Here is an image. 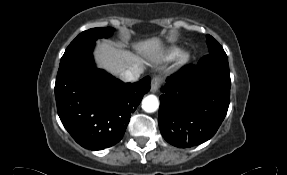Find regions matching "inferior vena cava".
<instances>
[{
    "mask_svg": "<svg viewBox=\"0 0 287 175\" xmlns=\"http://www.w3.org/2000/svg\"><path fill=\"white\" fill-rule=\"evenodd\" d=\"M143 72L142 68H130L120 73L119 77L125 82H135L139 79L141 73Z\"/></svg>",
    "mask_w": 287,
    "mask_h": 175,
    "instance_id": "1",
    "label": "inferior vena cava"
}]
</instances>
